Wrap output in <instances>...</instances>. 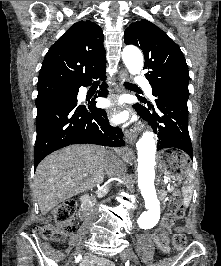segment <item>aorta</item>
<instances>
[{"instance_id":"1","label":"aorta","mask_w":221,"mask_h":266,"mask_svg":"<svg viewBox=\"0 0 221 266\" xmlns=\"http://www.w3.org/2000/svg\"><path fill=\"white\" fill-rule=\"evenodd\" d=\"M122 59L131 74H139L143 68V56L135 47H125ZM138 150V186L145 200L147 211L140 215L141 228H150L160 216L159 200L154 186L156 144L152 132L146 131L136 144Z\"/></svg>"}]
</instances>
